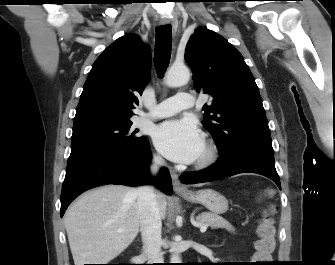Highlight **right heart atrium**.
Masks as SVG:
<instances>
[{
  "label": "right heart atrium",
  "mask_w": 335,
  "mask_h": 265,
  "mask_svg": "<svg viewBox=\"0 0 335 265\" xmlns=\"http://www.w3.org/2000/svg\"><path fill=\"white\" fill-rule=\"evenodd\" d=\"M154 161L157 162V163H160L161 162V158L158 155H155L154 156Z\"/></svg>",
  "instance_id": "obj_1"
}]
</instances>
